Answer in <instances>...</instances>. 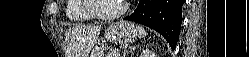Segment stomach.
Listing matches in <instances>:
<instances>
[{
    "mask_svg": "<svg viewBox=\"0 0 249 57\" xmlns=\"http://www.w3.org/2000/svg\"><path fill=\"white\" fill-rule=\"evenodd\" d=\"M138 36L137 27L127 21H117L109 25L105 30V38L108 42L119 45H127ZM90 57H104L102 49L98 46L93 49Z\"/></svg>",
    "mask_w": 249,
    "mask_h": 57,
    "instance_id": "stomach-1",
    "label": "stomach"
}]
</instances>
